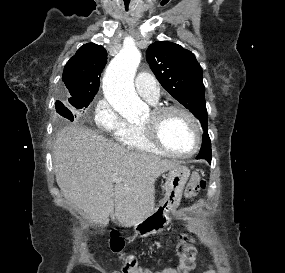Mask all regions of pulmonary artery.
<instances>
[{
    "instance_id": "pulmonary-artery-1",
    "label": "pulmonary artery",
    "mask_w": 285,
    "mask_h": 273,
    "mask_svg": "<svg viewBox=\"0 0 285 273\" xmlns=\"http://www.w3.org/2000/svg\"><path fill=\"white\" fill-rule=\"evenodd\" d=\"M137 92L149 102H157L160 88L155 78L147 72H139L135 78Z\"/></svg>"
}]
</instances>
